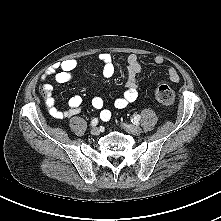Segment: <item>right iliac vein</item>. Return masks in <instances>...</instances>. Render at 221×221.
Returning <instances> with one entry per match:
<instances>
[{"mask_svg":"<svg viewBox=\"0 0 221 221\" xmlns=\"http://www.w3.org/2000/svg\"><path fill=\"white\" fill-rule=\"evenodd\" d=\"M99 133H100V131H99V129H98L97 127H93V128L91 129V134H92V135L97 136V135H99Z\"/></svg>","mask_w":221,"mask_h":221,"instance_id":"1","label":"right iliac vein"}]
</instances>
